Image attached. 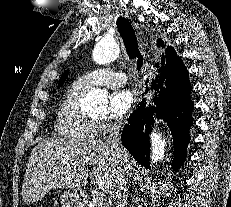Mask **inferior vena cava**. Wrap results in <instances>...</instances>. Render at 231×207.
Segmentation results:
<instances>
[{
  "instance_id": "602c4592",
  "label": "inferior vena cava",
  "mask_w": 231,
  "mask_h": 207,
  "mask_svg": "<svg viewBox=\"0 0 231 207\" xmlns=\"http://www.w3.org/2000/svg\"><path fill=\"white\" fill-rule=\"evenodd\" d=\"M120 130L121 123L114 122L109 126V136L106 140V144L110 146L113 153L119 160L118 172H117V184L114 190L113 197L115 199L116 207H127V179L125 176L127 153L121 146L120 142Z\"/></svg>"
}]
</instances>
